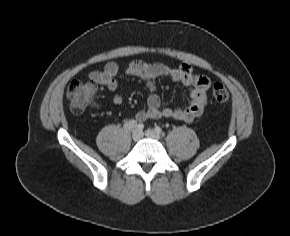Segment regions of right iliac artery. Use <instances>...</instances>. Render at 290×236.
<instances>
[{"instance_id":"1","label":"right iliac artery","mask_w":290,"mask_h":236,"mask_svg":"<svg viewBox=\"0 0 290 236\" xmlns=\"http://www.w3.org/2000/svg\"><path fill=\"white\" fill-rule=\"evenodd\" d=\"M136 124H137V123H136ZM136 129H137L138 131H143V129H144V124H142V123L137 124V125H136Z\"/></svg>"}]
</instances>
